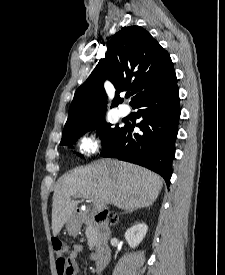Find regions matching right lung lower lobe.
Returning <instances> with one entry per match:
<instances>
[{"instance_id":"obj_1","label":"right lung lower lobe","mask_w":225,"mask_h":275,"mask_svg":"<svg viewBox=\"0 0 225 275\" xmlns=\"http://www.w3.org/2000/svg\"><path fill=\"white\" fill-rule=\"evenodd\" d=\"M179 101L177 79L160 91L141 97L132 107L139 109L142 121L136 126L143 133H133L135 125L125 124L103 147L101 156L147 167L160 174L169 186L180 118Z\"/></svg>"}]
</instances>
